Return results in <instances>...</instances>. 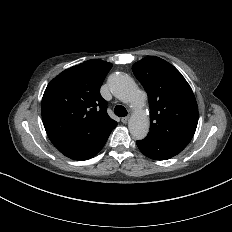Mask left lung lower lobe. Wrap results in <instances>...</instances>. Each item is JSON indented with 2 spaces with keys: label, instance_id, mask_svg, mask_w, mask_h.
Listing matches in <instances>:
<instances>
[{
  "label": "left lung lower lobe",
  "instance_id": "obj_1",
  "mask_svg": "<svg viewBox=\"0 0 232 232\" xmlns=\"http://www.w3.org/2000/svg\"><path fill=\"white\" fill-rule=\"evenodd\" d=\"M137 146L145 156L154 160L170 159L183 150L175 145L148 135L145 139L137 141Z\"/></svg>",
  "mask_w": 232,
  "mask_h": 232
}]
</instances>
